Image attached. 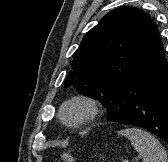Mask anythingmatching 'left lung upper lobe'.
<instances>
[{
    "instance_id": "left-lung-upper-lobe-1",
    "label": "left lung upper lobe",
    "mask_w": 168,
    "mask_h": 162,
    "mask_svg": "<svg viewBox=\"0 0 168 162\" xmlns=\"http://www.w3.org/2000/svg\"><path fill=\"white\" fill-rule=\"evenodd\" d=\"M160 40L156 24L143 10L117 8L93 27L72 55L65 86L74 85L104 107L115 87Z\"/></svg>"
}]
</instances>
